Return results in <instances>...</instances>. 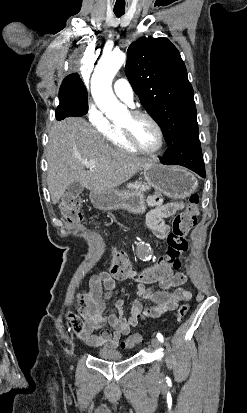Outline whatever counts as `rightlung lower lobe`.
Here are the masks:
<instances>
[{"label":"right lung lower lobe","mask_w":247,"mask_h":413,"mask_svg":"<svg viewBox=\"0 0 247 413\" xmlns=\"http://www.w3.org/2000/svg\"><path fill=\"white\" fill-rule=\"evenodd\" d=\"M79 117V111L68 103L60 102L56 109V119L63 120L66 117Z\"/></svg>","instance_id":"obj_1"}]
</instances>
